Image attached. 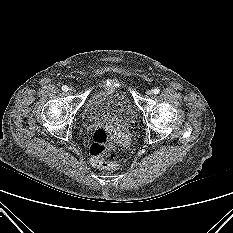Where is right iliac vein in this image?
<instances>
[{
  "mask_svg": "<svg viewBox=\"0 0 233 233\" xmlns=\"http://www.w3.org/2000/svg\"><path fill=\"white\" fill-rule=\"evenodd\" d=\"M68 92H69L70 94H74V92H75L74 87H69V88H68Z\"/></svg>",
  "mask_w": 233,
  "mask_h": 233,
  "instance_id": "1",
  "label": "right iliac vein"
}]
</instances>
